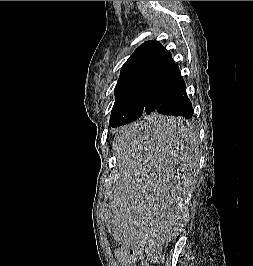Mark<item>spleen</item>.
I'll return each mask as SVG.
<instances>
[{
  "label": "spleen",
  "instance_id": "spleen-1",
  "mask_svg": "<svg viewBox=\"0 0 253 266\" xmlns=\"http://www.w3.org/2000/svg\"><path fill=\"white\" fill-rule=\"evenodd\" d=\"M190 123L172 111H153L145 123H129L114 135L112 153L119 161L121 190H108L117 199L106 211L113 242L121 248H166L173 235H183L188 217L189 190L195 184L191 160Z\"/></svg>",
  "mask_w": 253,
  "mask_h": 266
}]
</instances>
